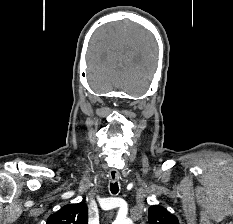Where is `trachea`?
<instances>
[{
    "label": "trachea",
    "instance_id": "3493384b",
    "mask_svg": "<svg viewBox=\"0 0 233 224\" xmlns=\"http://www.w3.org/2000/svg\"><path fill=\"white\" fill-rule=\"evenodd\" d=\"M110 191L112 194H117L118 191H119V186H118V183L117 182H114V183H111L110 184Z\"/></svg>",
    "mask_w": 233,
    "mask_h": 224
}]
</instances>
